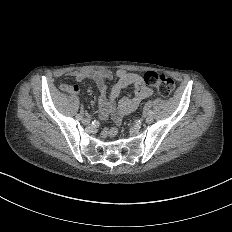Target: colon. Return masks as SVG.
<instances>
[{
	"mask_svg": "<svg viewBox=\"0 0 232 232\" xmlns=\"http://www.w3.org/2000/svg\"><path fill=\"white\" fill-rule=\"evenodd\" d=\"M154 91H160L161 98H172L171 86H175V81H151Z\"/></svg>",
	"mask_w": 232,
	"mask_h": 232,
	"instance_id": "1",
	"label": "colon"
}]
</instances>
